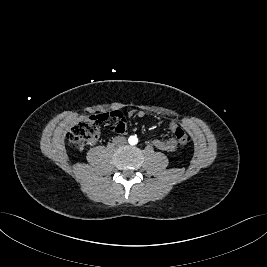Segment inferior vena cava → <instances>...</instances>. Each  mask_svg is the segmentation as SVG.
Segmentation results:
<instances>
[{"instance_id": "obj_1", "label": "inferior vena cava", "mask_w": 267, "mask_h": 267, "mask_svg": "<svg viewBox=\"0 0 267 267\" xmlns=\"http://www.w3.org/2000/svg\"><path fill=\"white\" fill-rule=\"evenodd\" d=\"M118 144H125L126 138L125 137H117L116 138Z\"/></svg>"}]
</instances>
